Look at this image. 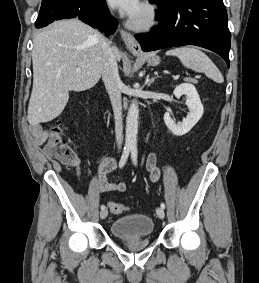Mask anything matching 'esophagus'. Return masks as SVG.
Segmentation results:
<instances>
[{
  "label": "esophagus",
  "instance_id": "esophagus-1",
  "mask_svg": "<svg viewBox=\"0 0 259 283\" xmlns=\"http://www.w3.org/2000/svg\"><path fill=\"white\" fill-rule=\"evenodd\" d=\"M121 37L126 45V47L129 49V51L132 54H140L141 53V46L139 42L135 39V37L130 34L129 32H126L125 30H121Z\"/></svg>",
  "mask_w": 259,
  "mask_h": 283
}]
</instances>
